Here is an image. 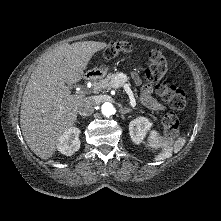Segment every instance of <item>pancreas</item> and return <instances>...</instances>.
Returning <instances> with one entry per match:
<instances>
[{
    "label": "pancreas",
    "instance_id": "cf45deb5",
    "mask_svg": "<svg viewBox=\"0 0 221 221\" xmlns=\"http://www.w3.org/2000/svg\"><path fill=\"white\" fill-rule=\"evenodd\" d=\"M116 79H119L120 82L125 83L128 81V78L117 72V73H110L106 76V78L101 79L99 81H94L93 85H92V90L94 93H99L100 91H102L103 89H109L111 87H113L114 81ZM135 93L133 94L136 98H138V95L136 93V89H134Z\"/></svg>",
    "mask_w": 221,
    "mask_h": 221
}]
</instances>
